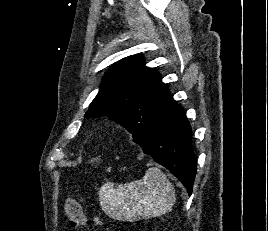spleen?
<instances>
[{
  "label": "spleen",
  "mask_w": 268,
  "mask_h": 231,
  "mask_svg": "<svg viewBox=\"0 0 268 231\" xmlns=\"http://www.w3.org/2000/svg\"><path fill=\"white\" fill-rule=\"evenodd\" d=\"M98 194L102 210L111 218L125 221L161 216L176 200L172 184L157 167L149 168L142 180L117 187L107 182Z\"/></svg>",
  "instance_id": "1"
}]
</instances>
